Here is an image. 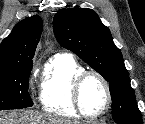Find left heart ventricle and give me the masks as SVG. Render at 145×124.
Instances as JSON below:
<instances>
[{
  "label": "left heart ventricle",
  "mask_w": 145,
  "mask_h": 124,
  "mask_svg": "<svg viewBox=\"0 0 145 124\" xmlns=\"http://www.w3.org/2000/svg\"><path fill=\"white\" fill-rule=\"evenodd\" d=\"M106 101L103 85L94 77L89 78L82 88V106L86 113L100 112Z\"/></svg>",
  "instance_id": "obj_1"
}]
</instances>
